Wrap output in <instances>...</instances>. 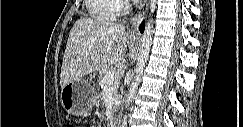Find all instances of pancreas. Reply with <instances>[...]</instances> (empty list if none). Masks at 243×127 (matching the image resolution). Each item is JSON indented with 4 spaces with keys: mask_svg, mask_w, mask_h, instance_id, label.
<instances>
[{
    "mask_svg": "<svg viewBox=\"0 0 243 127\" xmlns=\"http://www.w3.org/2000/svg\"><path fill=\"white\" fill-rule=\"evenodd\" d=\"M116 69L115 67L113 66H109V67H106L104 69H102L99 73V85L102 87V82H103V79L106 75H108L109 73L111 72H114ZM110 89H111V93H112V96L114 99H116L118 97L117 95V89H118V81L115 80L111 85H110Z\"/></svg>",
    "mask_w": 243,
    "mask_h": 127,
    "instance_id": "pancreas-1",
    "label": "pancreas"
}]
</instances>
